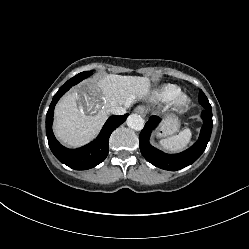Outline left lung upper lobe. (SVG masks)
Returning a JSON list of instances; mask_svg holds the SVG:
<instances>
[{
  "instance_id": "1",
  "label": "left lung upper lobe",
  "mask_w": 249,
  "mask_h": 249,
  "mask_svg": "<svg viewBox=\"0 0 249 249\" xmlns=\"http://www.w3.org/2000/svg\"><path fill=\"white\" fill-rule=\"evenodd\" d=\"M201 93H203L201 90H200V93H199V95L201 94Z\"/></svg>"
}]
</instances>
